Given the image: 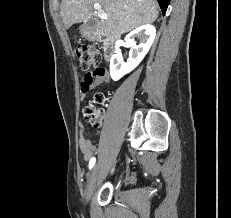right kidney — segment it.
<instances>
[{"label":"right kidney","instance_id":"1","mask_svg":"<svg viewBox=\"0 0 231 218\" xmlns=\"http://www.w3.org/2000/svg\"><path fill=\"white\" fill-rule=\"evenodd\" d=\"M140 37V44L136 45L134 37ZM156 36L153 25H142L125 37V43L131 47L128 62L125 63L119 54H114L110 60V75L114 81L119 80L125 74L131 72L143 60L149 51Z\"/></svg>","mask_w":231,"mask_h":218}]
</instances>
